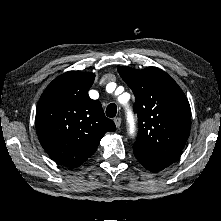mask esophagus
Masks as SVG:
<instances>
[{"label":"esophagus","instance_id":"obj_1","mask_svg":"<svg viewBox=\"0 0 221 221\" xmlns=\"http://www.w3.org/2000/svg\"><path fill=\"white\" fill-rule=\"evenodd\" d=\"M114 122H115L116 127L119 128L120 125H121L122 120H121L120 117H117V118L114 119Z\"/></svg>","mask_w":221,"mask_h":221}]
</instances>
